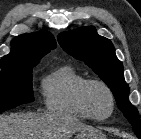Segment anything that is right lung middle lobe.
Returning a JSON list of instances; mask_svg holds the SVG:
<instances>
[{
	"mask_svg": "<svg viewBox=\"0 0 141 139\" xmlns=\"http://www.w3.org/2000/svg\"><path fill=\"white\" fill-rule=\"evenodd\" d=\"M36 65L1 68L0 112L34 101L32 68Z\"/></svg>",
	"mask_w": 141,
	"mask_h": 139,
	"instance_id": "1",
	"label": "right lung middle lobe"
}]
</instances>
